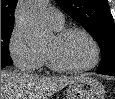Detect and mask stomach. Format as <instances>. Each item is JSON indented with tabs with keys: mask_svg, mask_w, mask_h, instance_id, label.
<instances>
[{
	"mask_svg": "<svg viewBox=\"0 0 115 99\" xmlns=\"http://www.w3.org/2000/svg\"><path fill=\"white\" fill-rule=\"evenodd\" d=\"M104 96L103 84L88 76L73 80L67 88V99H104Z\"/></svg>",
	"mask_w": 115,
	"mask_h": 99,
	"instance_id": "1",
	"label": "stomach"
}]
</instances>
